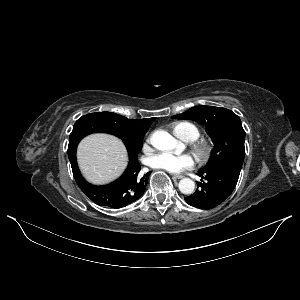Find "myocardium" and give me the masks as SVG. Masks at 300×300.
<instances>
[{"label":"myocardium","mask_w":300,"mask_h":300,"mask_svg":"<svg viewBox=\"0 0 300 300\" xmlns=\"http://www.w3.org/2000/svg\"><path fill=\"white\" fill-rule=\"evenodd\" d=\"M193 152L200 163L208 162L215 151V144L211 140L202 139L192 145Z\"/></svg>","instance_id":"myocardium-1"}]
</instances>
